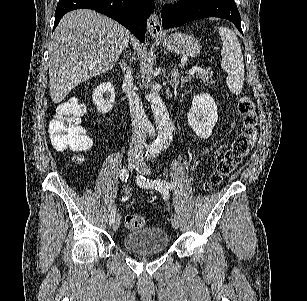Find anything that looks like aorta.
I'll return each instance as SVG.
<instances>
[{
    "label": "aorta",
    "mask_w": 307,
    "mask_h": 301,
    "mask_svg": "<svg viewBox=\"0 0 307 301\" xmlns=\"http://www.w3.org/2000/svg\"><path fill=\"white\" fill-rule=\"evenodd\" d=\"M151 92L148 94V100L150 102L151 110L157 124V138H155L153 144L150 146V151L153 153H160L163 148V144H168L174 134V124L170 114L164 104L158 90H156L154 84H151Z\"/></svg>",
    "instance_id": "762f6f07"
}]
</instances>
